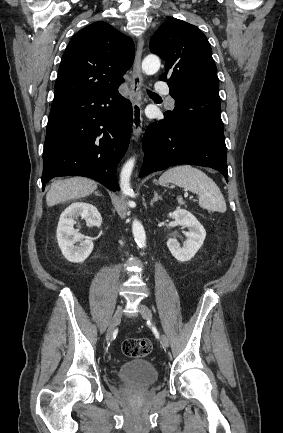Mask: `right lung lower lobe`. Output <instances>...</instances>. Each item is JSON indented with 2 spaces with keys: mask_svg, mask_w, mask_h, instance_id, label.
Here are the masks:
<instances>
[{
  "mask_svg": "<svg viewBox=\"0 0 283 433\" xmlns=\"http://www.w3.org/2000/svg\"><path fill=\"white\" fill-rule=\"evenodd\" d=\"M131 103L118 87L52 105L43 151L42 189L58 176H85L112 191L115 168L129 146Z\"/></svg>",
  "mask_w": 283,
  "mask_h": 433,
  "instance_id": "right-lung-lower-lobe-1",
  "label": "right lung lower lobe"
}]
</instances>
